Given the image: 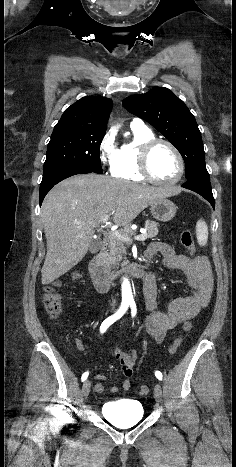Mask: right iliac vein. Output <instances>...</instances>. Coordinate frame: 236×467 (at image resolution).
<instances>
[{
  "mask_svg": "<svg viewBox=\"0 0 236 467\" xmlns=\"http://www.w3.org/2000/svg\"><path fill=\"white\" fill-rule=\"evenodd\" d=\"M90 388H91V382L89 380H86L84 381L83 385H82V395L83 397L86 399L89 395V392H90Z\"/></svg>",
  "mask_w": 236,
  "mask_h": 467,
  "instance_id": "obj_1",
  "label": "right iliac vein"
}]
</instances>
